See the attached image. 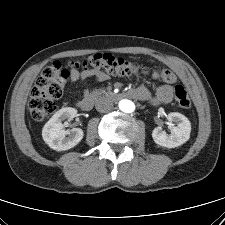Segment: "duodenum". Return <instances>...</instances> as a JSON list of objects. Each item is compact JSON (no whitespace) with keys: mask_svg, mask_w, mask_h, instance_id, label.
<instances>
[{"mask_svg":"<svg viewBox=\"0 0 225 225\" xmlns=\"http://www.w3.org/2000/svg\"><path fill=\"white\" fill-rule=\"evenodd\" d=\"M100 92L99 91H93L91 94L85 96L79 103L78 106L83 111H89L93 108V105L95 101L97 100ZM126 96H133L134 92H127L125 93Z\"/></svg>","mask_w":225,"mask_h":225,"instance_id":"410a0bca","label":"duodenum"}]
</instances>
